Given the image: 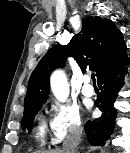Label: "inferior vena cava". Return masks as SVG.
Listing matches in <instances>:
<instances>
[{
	"mask_svg": "<svg viewBox=\"0 0 130 153\" xmlns=\"http://www.w3.org/2000/svg\"><path fill=\"white\" fill-rule=\"evenodd\" d=\"M83 132V128L81 126H77L70 132L69 136L66 138L63 144L65 153H75L76 147L80 142V137Z\"/></svg>",
	"mask_w": 130,
	"mask_h": 153,
	"instance_id": "obj_1",
	"label": "inferior vena cava"
}]
</instances>
